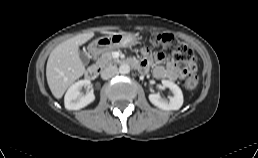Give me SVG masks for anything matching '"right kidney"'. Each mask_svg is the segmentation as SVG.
Wrapping results in <instances>:
<instances>
[{
    "mask_svg": "<svg viewBox=\"0 0 258 158\" xmlns=\"http://www.w3.org/2000/svg\"><path fill=\"white\" fill-rule=\"evenodd\" d=\"M82 87L87 88L85 95L80 90ZM95 100L90 80H80L70 86L64 97V105L68 110H79L89 105Z\"/></svg>",
    "mask_w": 258,
    "mask_h": 158,
    "instance_id": "ca27d5eb",
    "label": "right kidney"
}]
</instances>
